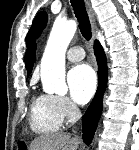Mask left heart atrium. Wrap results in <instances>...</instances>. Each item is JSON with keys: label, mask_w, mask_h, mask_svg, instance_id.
I'll use <instances>...</instances> for the list:
<instances>
[{"label": "left heart atrium", "mask_w": 139, "mask_h": 150, "mask_svg": "<svg viewBox=\"0 0 139 150\" xmlns=\"http://www.w3.org/2000/svg\"><path fill=\"white\" fill-rule=\"evenodd\" d=\"M67 82L72 99L79 103H87L96 89V74L87 64L73 67L67 76Z\"/></svg>", "instance_id": "obj_1"}]
</instances>
